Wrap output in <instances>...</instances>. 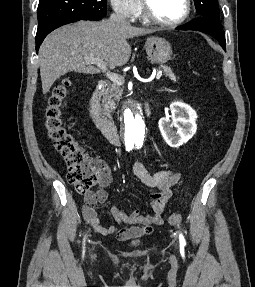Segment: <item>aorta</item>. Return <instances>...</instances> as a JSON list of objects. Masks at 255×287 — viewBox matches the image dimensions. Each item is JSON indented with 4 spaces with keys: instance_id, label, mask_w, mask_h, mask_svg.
I'll use <instances>...</instances> for the list:
<instances>
[{
    "instance_id": "obj_1",
    "label": "aorta",
    "mask_w": 255,
    "mask_h": 287,
    "mask_svg": "<svg viewBox=\"0 0 255 287\" xmlns=\"http://www.w3.org/2000/svg\"><path fill=\"white\" fill-rule=\"evenodd\" d=\"M123 133L127 146H142L145 137V123L142 112L135 104L124 111Z\"/></svg>"
}]
</instances>
